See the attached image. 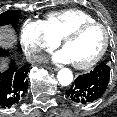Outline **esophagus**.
<instances>
[{
  "label": "esophagus",
  "instance_id": "34e87169",
  "mask_svg": "<svg viewBox=\"0 0 117 117\" xmlns=\"http://www.w3.org/2000/svg\"><path fill=\"white\" fill-rule=\"evenodd\" d=\"M49 71L56 72L58 70L57 67H46Z\"/></svg>",
  "mask_w": 117,
  "mask_h": 117
}]
</instances>
